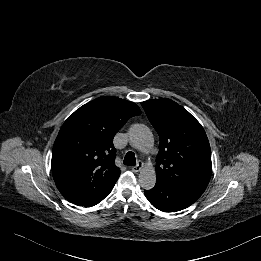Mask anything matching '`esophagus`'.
Segmentation results:
<instances>
[{
  "label": "esophagus",
  "mask_w": 261,
  "mask_h": 261,
  "mask_svg": "<svg viewBox=\"0 0 261 261\" xmlns=\"http://www.w3.org/2000/svg\"><path fill=\"white\" fill-rule=\"evenodd\" d=\"M144 164L142 161H138L137 165L136 166H133L131 168V170L134 172V173H138L142 168H143Z\"/></svg>",
  "instance_id": "esophagus-1"
}]
</instances>
